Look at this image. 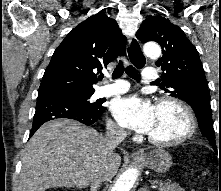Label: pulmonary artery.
Instances as JSON below:
<instances>
[{"instance_id":"obj_1","label":"pulmonary artery","mask_w":221,"mask_h":191,"mask_svg":"<svg viewBox=\"0 0 221 191\" xmlns=\"http://www.w3.org/2000/svg\"><path fill=\"white\" fill-rule=\"evenodd\" d=\"M159 78V73L147 67L142 72L143 81L149 83L157 80ZM129 89V84L123 80H117L113 84H107L99 87L95 93L96 98L110 97L118 94L125 93Z\"/></svg>"}]
</instances>
